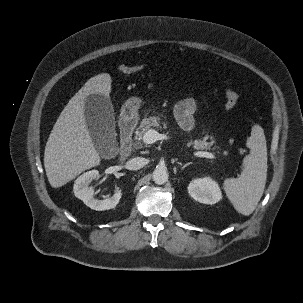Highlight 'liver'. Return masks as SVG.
<instances>
[{"label":"liver","instance_id":"1","mask_svg":"<svg viewBox=\"0 0 303 303\" xmlns=\"http://www.w3.org/2000/svg\"><path fill=\"white\" fill-rule=\"evenodd\" d=\"M112 79L108 73L90 78L70 99L58 117L48 138L44 166L53 188L67 184L83 171L100 164L85 119V100L89 95L109 99Z\"/></svg>","mask_w":303,"mask_h":303}]
</instances>
